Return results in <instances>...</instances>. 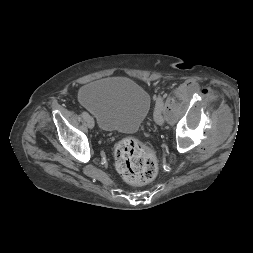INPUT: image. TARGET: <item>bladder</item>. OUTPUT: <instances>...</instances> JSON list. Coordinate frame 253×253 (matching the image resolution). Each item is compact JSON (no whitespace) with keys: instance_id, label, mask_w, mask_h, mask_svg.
I'll use <instances>...</instances> for the list:
<instances>
[{"instance_id":"31cf9c89","label":"bladder","mask_w":253,"mask_h":253,"mask_svg":"<svg viewBox=\"0 0 253 253\" xmlns=\"http://www.w3.org/2000/svg\"><path fill=\"white\" fill-rule=\"evenodd\" d=\"M79 99L106 132H134L151 107L149 93L129 78H106L89 83L81 88Z\"/></svg>"}]
</instances>
